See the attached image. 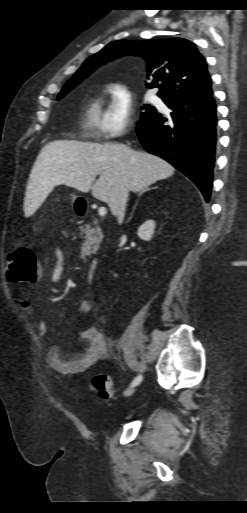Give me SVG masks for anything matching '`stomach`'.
I'll use <instances>...</instances> for the list:
<instances>
[{
	"label": "stomach",
	"mask_w": 247,
	"mask_h": 513,
	"mask_svg": "<svg viewBox=\"0 0 247 513\" xmlns=\"http://www.w3.org/2000/svg\"><path fill=\"white\" fill-rule=\"evenodd\" d=\"M71 196H72V203L75 205V203H76V202H77V200H78V197H77V196H75L74 194H72ZM74 209H75V212L77 213L76 208H74Z\"/></svg>",
	"instance_id": "0dacf381"
}]
</instances>
